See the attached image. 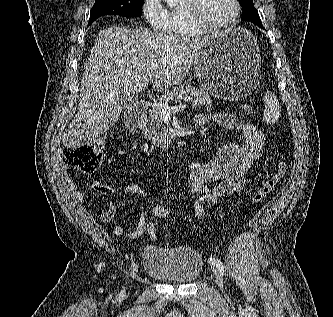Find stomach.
Segmentation results:
<instances>
[{
	"label": "stomach",
	"instance_id": "0dacf381",
	"mask_svg": "<svg viewBox=\"0 0 333 317\" xmlns=\"http://www.w3.org/2000/svg\"><path fill=\"white\" fill-rule=\"evenodd\" d=\"M196 77L209 94L235 101L256 94L260 51L254 35L240 27L211 36L194 61Z\"/></svg>",
	"mask_w": 333,
	"mask_h": 317
}]
</instances>
